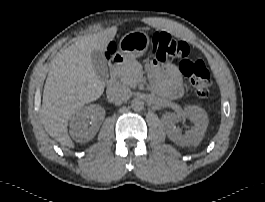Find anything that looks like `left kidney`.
<instances>
[{"instance_id":"left-kidney-1","label":"left kidney","mask_w":265,"mask_h":202,"mask_svg":"<svg viewBox=\"0 0 265 202\" xmlns=\"http://www.w3.org/2000/svg\"><path fill=\"white\" fill-rule=\"evenodd\" d=\"M181 117L189 118L193 123V127L185 134H182V130L176 127ZM162 121L168 138L180 146H197L208 127V116L205 110L198 106H186L181 114L166 113L162 116Z\"/></svg>"}]
</instances>
